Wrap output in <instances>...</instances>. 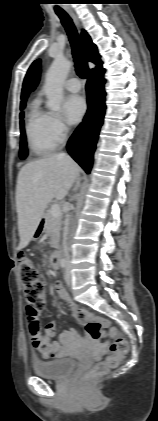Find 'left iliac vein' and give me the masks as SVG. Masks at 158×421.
Masks as SVG:
<instances>
[{"mask_svg": "<svg viewBox=\"0 0 158 421\" xmlns=\"http://www.w3.org/2000/svg\"><path fill=\"white\" fill-rule=\"evenodd\" d=\"M65 282L70 285L71 284V273H70V267L67 266L64 274Z\"/></svg>", "mask_w": 158, "mask_h": 421, "instance_id": "4c4485c4", "label": "left iliac vein"}]
</instances>
